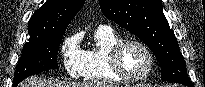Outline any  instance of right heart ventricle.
<instances>
[{"label": "right heart ventricle", "instance_id": "1", "mask_svg": "<svg viewBox=\"0 0 205 87\" xmlns=\"http://www.w3.org/2000/svg\"><path fill=\"white\" fill-rule=\"evenodd\" d=\"M121 37L107 26L97 27L91 36V45L82 51L83 66L80 76L96 84L120 83L118 77L112 72L108 54L110 49Z\"/></svg>", "mask_w": 205, "mask_h": 87}]
</instances>
